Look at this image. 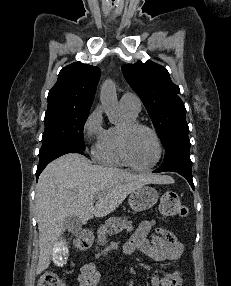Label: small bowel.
Here are the masks:
<instances>
[{
	"label": "small bowel",
	"mask_w": 231,
	"mask_h": 286,
	"mask_svg": "<svg viewBox=\"0 0 231 286\" xmlns=\"http://www.w3.org/2000/svg\"><path fill=\"white\" fill-rule=\"evenodd\" d=\"M150 236V240L148 239ZM140 251L153 261H176L183 254L184 247L168 229L157 226L156 220L143 221L129 240L123 245L126 255ZM101 275L93 264L82 267L78 276L79 286H98ZM152 286H182V271L175 268L163 277L153 275Z\"/></svg>",
	"instance_id": "obj_1"
}]
</instances>
